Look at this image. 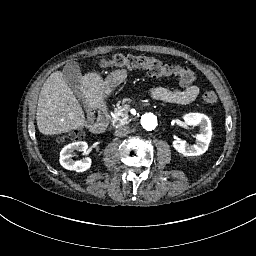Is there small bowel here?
Returning a JSON list of instances; mask_svg holds the SVG:
<instances>
[{
  "label": "small bowel",
  "instance_id": "c3829d8e",
  "mask_svg": "<svg viewBox=\"0 0 256 256\" xmlns=\"http://www.w3.org/2000/svg\"><path fill=\"white\" fill-rule=\"evenodd\" d=\"M183 87L182 90L155 87L151 89L150 93L152 97L169 103L183 105L193 102L199 94V88L192 84H183Z\"/></svg>",
  "mask_w": 256,
  "mask_h": 256
}]
</instances>
